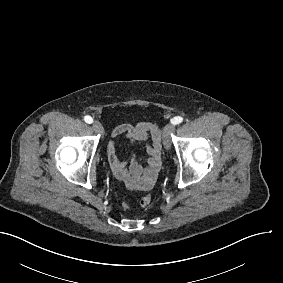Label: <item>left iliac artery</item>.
<instances>
[{
  "mask_svg": "<svg viewBox=\"0 0 283 283\" xmlns=\"http://www.w3.org/2000/svg\"><path fill=\"white\" fill-rule=\"evenodd\" d=\"M182 121H183V118L180 117V116H176V117H174L173 119H171V123L174 124V125L179 124V123H181Z\"/></svg>",
  "mask_w": 283,
  "mask_h": 283,
  "instance_id": "1",
  "label": "left iliac artery"
}]
</instances>
